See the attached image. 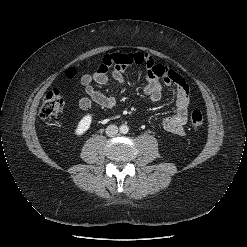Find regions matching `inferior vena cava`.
Masks as SVG:
<instances>
[{
  "mask_svg": "<svg viewBox=\"0 0 247 247\" xmlns=\"http://www.w3.org/2000/svg\"><path fill=\"white\" fill-rule=\"evenodd\" d=\"M118 133V127L116 125H109L107 126L106 128V135L109 136V137H113L115 135H117Z\"/></svg>",
  "mask_w": 247,
  "mask_h": 247,
  "instance_id": "obj_1",
  "label": "inferior vena cava"
}]
</instances>
